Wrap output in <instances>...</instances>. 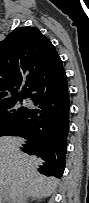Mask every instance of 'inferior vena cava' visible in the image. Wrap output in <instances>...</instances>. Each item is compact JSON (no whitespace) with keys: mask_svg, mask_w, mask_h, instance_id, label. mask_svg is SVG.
Returning <instances> with one entry per match:
<instances>
[{"mask_svg":"<svg viewBox=\"0 0 89 203\" xmlns=\"http://www.w3.org/2000/svg\"><path fill=\"white\" fill-rule=\"evenodd\" d=\"M18 203H25V199L24 198H20Z\"/></svg>","mask_w":89,"mask_h":203,"instance_id":"602c4592","label":"inferior vena cava"}]
</instances>
